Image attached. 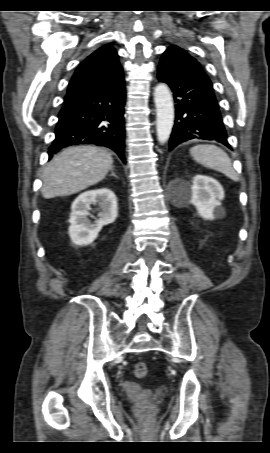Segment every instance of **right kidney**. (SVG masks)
<instances>
[{"mask_svg": "<svg viewBox=\"0 0 270 453\" xmlns=\"http://www.w3.org/2000/svg\"><path fill=\"white\" fill-rule=\"evenodd\" d=\"M100 208L99 220L91 223L87 218L90 205ZM118 215L117 198L108 188L89 190L80 194L72 203L69 219V236L78 246L91 244L104 225L113 223Z\"/></svg>", "mask_w": 270, "mask_h": 453, "instance_id": "obj_1", "label": "right kidney"}]
</instances>
